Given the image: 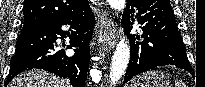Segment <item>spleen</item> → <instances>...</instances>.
Returning a JSON list of instances; mask_svg holds the SVG:
<instances>
[{"mask_svg": "<svg viewBox=\"0 0 205 87\" xmlns=\"http://www.w3.org/2000/svg\"><path fill=\"white\" fill-rule=\"evenodd\" d=\"M176 87H184V85L182 83H177Z\"/></svg>", "mask_w": 205, "mask_h": 87, "instance_id": "1", "label": "spleen"}]
</instances>
